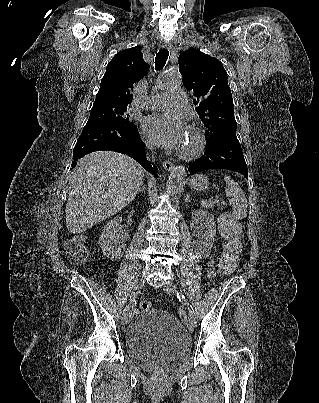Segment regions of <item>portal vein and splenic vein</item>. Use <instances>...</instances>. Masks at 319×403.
Listing matches in <instances>:
<instances>
[{
	"mask_svg": "<svg viewBox=\"0 0 319 403\" xmlns=\"http://www.w3.org/2000/svg\"><path fill=\"white\" fill-rule=\"evenodd\" d=\"M216 203L217 204H219L220 203V200H219V198L216 196Z\"/></svg>",
	"mask_w": 319,
	"mask_h": 403,
	"instance_id": "1",
	"label": "portal vein and splenic vein"
}]
</instances>
